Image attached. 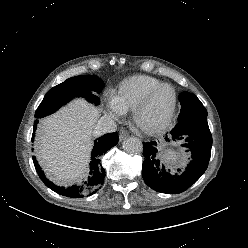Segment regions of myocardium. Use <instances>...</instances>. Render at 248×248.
Here are the masks:
<instances>
[{
	"instance_id": "obj_1",
	"label": "myocardium",
	"mask_w": 248,
	"mask_h": 248,
	"mask_svg": "<svg viewBox=\"0 0 248 248\" xmlns=\"http://www.w3.org/2000/svg\"><path fill=\"white\" fill-rule=\"evenodd\" d=\"M164 88H169L172 91V95H173L172 106H171V109L169 111V114L166 120L162 124L158 126H154V127H147V126L142 125L140 123V116L142 112L146 109V107L148 106V104L150 103L154 95ZM177 104H178V95H177V91L175 90V88L171 86L170 84L162 83L158 85L157 87L153 88L152 90H150L141 99V101L134 107V109L132 110L133 124L138 130H140L141 132L145 134H148V135L160 134L166 131L167 129H169V127L172 125L175 114H176V110H177Z\"/></svg>"
}]
</instances>
